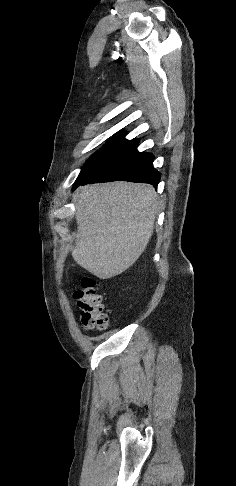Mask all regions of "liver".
I'll return each mask as SVG.
<instances>
[{"label":"liver","instance_id":"liver-1","mask_svg":"<svg viewBox=\"0 0 236 486\" xmlns=\"http://www.w3.org/2000/svg\"><path fill=\"white\" fill-rule=\"evenodd\" d=\"M74 201L76 263L100 279L131 267L153 234L159 211L154 188L121 181L94 184L80 187Z\"/></svg>","mask_w":236,"mask_h":486}]
</instances>
